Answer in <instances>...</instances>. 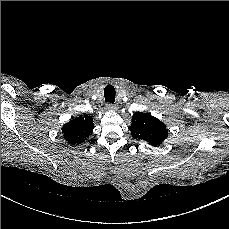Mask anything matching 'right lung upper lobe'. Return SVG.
<instances>
[{
  "mask_svg": "<svg viewBox=\"0 0 229 229\" xmlns=\"http://www.w3.org/2000/svg\"><path fill=\"white\" fill-rule=\"evenodd\" d=\"M93 118L92 116H79L70 120L62 128L65 140L70 144L82 142L93 131Z\"/></svg>",
  "mask_w": 229,
  "mask_h": 229,
  "instance_id": "1",
  "label": "right lung upper lobe"
}]
</instances>
